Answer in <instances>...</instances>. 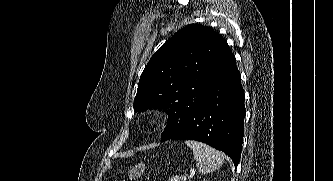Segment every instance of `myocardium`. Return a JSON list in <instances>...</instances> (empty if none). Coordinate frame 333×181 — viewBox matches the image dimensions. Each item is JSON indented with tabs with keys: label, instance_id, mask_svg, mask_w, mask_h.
<instances>
[{
	"label": "myocardium",
	"instance_id": "myocardium-1",
	"mask_svg": "<svg viewBox=\"0 0 333 181\" xmlns=\"http://www.w3.org/2000/svg\"><path fill=\"white\" fill-rule=\"evenodd\" d=\"M160 123V118L157 114H151L145 119V125L149 128L158 126Z\"/></svg>",
	"mask_w": 333,
	"mask_h": 181
}]
</instances>
